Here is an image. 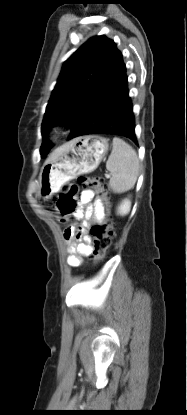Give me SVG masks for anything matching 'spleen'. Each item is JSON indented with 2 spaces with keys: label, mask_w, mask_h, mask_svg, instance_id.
<instances>
[{
  "label": "spleen",
  "mask_w": 187,
  "mask_h": 415,
  "mask_svg": "<svg viewBox=\"0 0 187 415\" xmlns=\"http://www.w3.org/2000/svg\"><path fill=\"white\" fill-rule=\"evenodd\" d=\"M112 152L106 162L111 174L109 188L114 193H123L135 185L139 175V159L136 151L124 140L115 137Z\"/></svg>",
  "instance_id": "spleen-1"
}]
</instances>
